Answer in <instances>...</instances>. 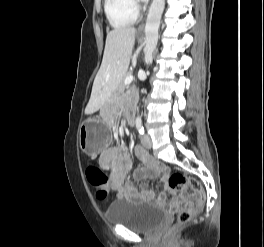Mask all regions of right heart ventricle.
<instances>
[{
	"label": "right heart ventricle",
	"instance_id": "right-heart-ventricle-1",
	"mask_svg": "<svg viewBox=\"0 0 264 247\" xmlns=\"http://www.w3.org/2000/svg\"><path fill=\"white\" fill-rule=\"evenodd\" d=\"M105 13L115 28H123L137 21L138 13L129 0H105Z\"/></svg>",
	"mask_w": 264,
	"mask_h": 247
}]
</instances>
